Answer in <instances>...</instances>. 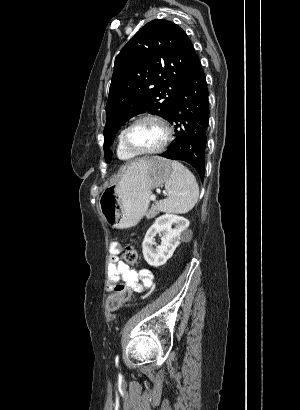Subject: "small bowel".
Wrapping results in <instances>:
<instances>
[{
  "instance_id": "small-bowel-1",
  "label": "small bowel",
  "mask_w": 300,
  "mask_h": 410,
  "mask_svg": "<svg viewBox=\"0 0 300 410\" xmlns=\"http://www.w3.org/2000/svg\"><path fill=\"white\" fill-rule=\"evenodd\" d=\"M122 245L118 242L110 247V257L108 260L107 288H111L117 281H124L134 292L142 293L149 289L153 283V276L147 269H132L128 264L121 261L119 254Z\"/></svg>"
}]
</instances>
